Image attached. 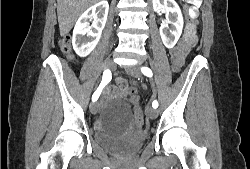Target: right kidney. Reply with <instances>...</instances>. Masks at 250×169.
<instances>
[{
    "mask_svg": "<svg viewBox=\"0 0 250 169\" xmlns=\"http://www.w3.org/2000/svg\"><path fill=\"white\" fill-rule=\"evenodd\" d=\"M97 10V12H96ZM109 4L108 0H100L97 4H93L87 8L81 16H79L73 30L72 44L76 54L79 56H87L91 50L98 44L102 30L106 24L108 16ZM89 18H93V24L88 26ZM87 34V38H84Z\"/></svg>",
    "mask_w": 250,
    "mask_h": 169,
    "instance_id": "obj_1",
    "label": "right kidney"
}]
</instances>
